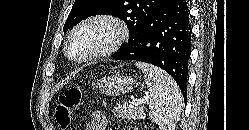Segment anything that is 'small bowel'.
<instances>
[{
  "label": "small bowel",
  "mask_w": 249,
  "mask_h": 130,
  "mask_svg": "<svg viewBox=\"0 0 249 130\" xmlns=\"http://www.w3.org/2000/svg\"><path fill=\"white\" fill-rule=\"evenodd\" d=\"M107 127V118L101 111H93L90 121L87 123L85 130H105Z\"/></svg>",
  "instance_id": "small-bowel-1"
}]
</instances>
